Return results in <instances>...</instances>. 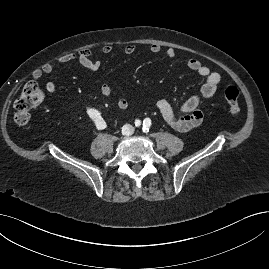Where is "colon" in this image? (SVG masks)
<instances>
[{
  "label": "colon",
  "mask_w": 269,
  "mask_h": 269,
  "mask_svg": "<svg viewBox=\"0 0 269 269\" xmlns=\"http://www.w3.org/2000/svg\"><path fill=\"white\" fill-rule=\"evenodd\" d=\"M44 93L34 81H29L22 87L17 99L14 102V120L18 125H26L31 118V111L44 101ZM224 98L228 106V111L233 117L238 116L239 91L234 86H228L224 90Z\"/></svg>",
  "instance_id": "obj_1"
}]
</instances>
